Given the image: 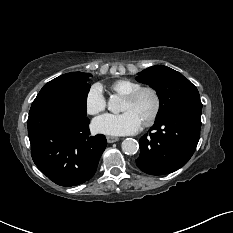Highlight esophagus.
Here are the masks:
<instances>
[{
  "label": "esophagus",
  "instance_id": "1",
  "mask_svg": "<svg viewBox=\"0 0 233 233\" xmlns=\"http://www.w3.org/2000/svg\"><path fill=\"white\" fill-rule=\"evenodd\" d=\"M106 139L108 143H114L119 140L118 137H114V136H107Z\"/></svg>",
  "mask_w": 233,
  "mask_h": 233
}]
</instances>
